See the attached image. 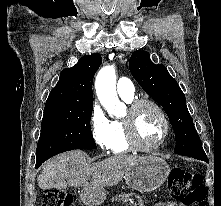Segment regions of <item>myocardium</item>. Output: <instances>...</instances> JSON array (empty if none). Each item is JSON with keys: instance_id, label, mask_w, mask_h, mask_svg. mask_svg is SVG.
<instances>
[{"instance_id": "obj_1", "label": "myocardium", "mask_w": 221, "mask_h": 206, "mask_svg": "<svg viewBox=\"0 0 221 206\" xmlns=\"http://www.w3.org/2000/svg\"><path fill=\"white\" fill-rule=\"evenodd\" d=\"M145 105L154 108L157 111V113L160 115L161 120L163 122L162 136L155 145L150 147L144 146L140 143L135 127V113L140 107ZM123 124L125 127L127 140L130 147L135 151L144 152V153H150L158 150L165 143L170 131V123L165 111L157 102L151 99H137L132 101L128 108V116L124 118Z\"/></svg>"}]
</instances>
